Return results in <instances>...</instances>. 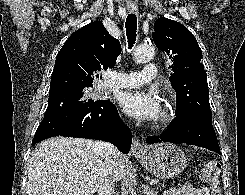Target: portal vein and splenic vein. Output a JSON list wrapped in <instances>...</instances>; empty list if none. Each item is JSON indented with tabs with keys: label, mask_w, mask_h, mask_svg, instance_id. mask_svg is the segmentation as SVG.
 <instances>
[{
	"label": "portal vein and splenic vein",
	"mask_w": 245,
	"mask_h": 195,
	"mask_svg": "<svg viewBox=\"0 0 245 195\" xmlns=\"http://www.w3.org/2000/svg\"><path fill=\"white\" fill-rule=\"evenodd\" d=\"M157 183H159L158 180H151V181H150V185H154V184H157Z\"/></svg>",
	"instance_id": "1"
}]
</instances>
